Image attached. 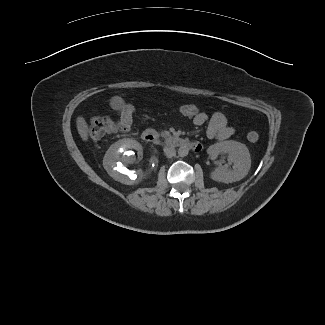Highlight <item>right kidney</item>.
<instances>
[{
  "label": "right kidney",
  "instance_id": "right-kidney-1",
  "mask_svg": "<svg viewBox=\"0 0 325 325\" xmlns=\"http://www.w3.org/2000/svg\"><path fill=\"white\" fill-rule=\"evenodd\" d=\"M103 166L112 178L127 185L140 183L149 173L143 159L142 145L129 138L119 140L109 147ZM130 166H134L133 170L128 169Z\"/></svg>",
  "mask_w": 325,
  "mask_h": 325
}]
</instances>
